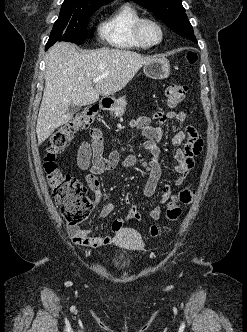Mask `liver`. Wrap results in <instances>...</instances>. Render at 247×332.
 Instances as JSON below:
<instances>
[{
	"mask_svg": "<svg viewBox=\"0 0 247 332\" xmlns=\"http://www.w3.org/2000/svg\"><path fill=\"white\" fill-rule=\"evenodd\" d=\"M154 58L108 48L81 53L72 43L54 44L45 61V88L36 125L38 145L72 118L71 104L90 105L100 95H113ZM95 78L101 79L93 84Z\"/></svg>",
	"mask_w": 247,
	"mask_h": 332,
	"instance_id": "6515ba94",
	"label": "liver"
}]
</instances>
